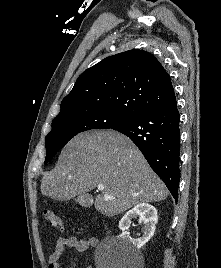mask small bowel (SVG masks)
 <instances>
[{"label":"small bowel","mask_w":221,"mask_h":268,"mask_svg":"<svg viewBox=\"0 0 221 268\" xmlns=\"http://www.w3.org/2000/svg\"><path fill=\"white\" fill-rule=\"evenodd\" d=\"M98 240L95 237L88 236L78 239L74 236L61 237L58 239L54 250L48 257V268H60V258L66 248H73L79 252H84L89 248L97 246ZM87 268H92L88 266Z\"/></svg>","instance_id":"c3829d8e"}]
</instances>
